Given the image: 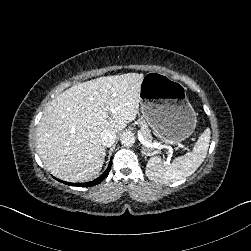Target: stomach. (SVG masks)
Listing matches in <instances>:
<instances>
[{"mask_svg": "<svg viewBox=\"0 0 251 251\" xmlns=\"http://www.w3.org/2000/svg\"><path fill=\"white\" fill-rule=\"evenodd\" d=\"M139 103L143 119L166 140H183L195 129L196 114L185 87L165 73L144 75Z\"/></svg>", "mask_w": 251, "mask_h": 251, "instance_id": "0dacf381", "label": "stomach"}]
</instances>
